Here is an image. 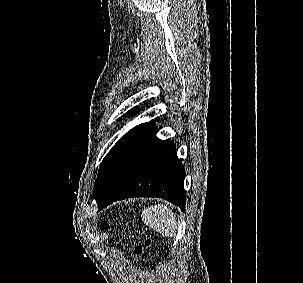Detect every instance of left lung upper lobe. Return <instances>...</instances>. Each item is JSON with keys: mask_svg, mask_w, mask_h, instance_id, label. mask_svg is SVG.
<instances>
[{"mask_svg": "<svg viewBox=\"0 0 303 283\" xmlns=\"http://www.w3.org/2000/svg\"><path fill=\"white\" fill-rule=\"evenodd\" d=\"M132 112L137 113L135 109L131 110ZM136 126L132 128L130 131H128L123 137L120 138V140L117 141V143L114 145V147L111 149V151L106 155V157L103 159V162L101 164V167L98 172V177L96 180V183L94 185V193L102 186L105 179L107 178L115 160L117 159L118 154L123 149L125 144L128 142V140L132 137V135L135 133L137 128Z\"/></svg>", "mask_w": 303, "mask_h": 283, "instance_id": "1", "label": "left lung upper lobe"}]
</instances>
